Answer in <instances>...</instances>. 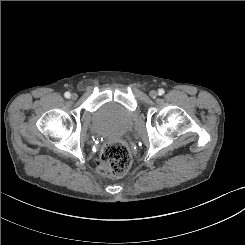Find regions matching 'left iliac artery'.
<instances>
[{"instance_id":"44dca946","label":"left iliac artery","mask_w":245,"mask_h":245,"mask_svg":"<svg viewBox=\"0 0 245 245\" xmlns=\"http://www.w3.org/2000/svg\"><path fill=\"white\" fill-rule=\"evenodd\" d=\"M164 93H165L164 89L161 88V89L158 90V94L159 95H163Z\"/></svg>"}]
</instances>
